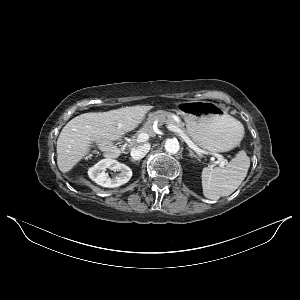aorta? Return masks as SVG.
<instances>
[{
  "label": "aorta",
  "mask_w": 300,
  "mask_h": 300,
  "mask_svg": "<svg viewBox=\"0 0 300 300\" xmlns=\"http://www.w3.org/2000/svg\"><path fill=\"white\" fill-rule=\"evenodd\" d=\"M165 150L170 154H176L180 149V144L177 139H168L165 142Z\"/></svg>",
  "instance_id": "aorta-1"
}]
</instances>
